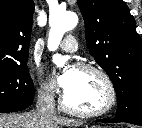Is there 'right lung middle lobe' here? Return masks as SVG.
I'll return each instance as SVG.
<instances>
[{
    "label": "right lung middle lobe",
    "instance_id": "dd1d6c3e",
    "mask_svg": "<svg viewBox=\"0 0 142 128\" xmlns=\"http://www.w3.org/2000/svg\"><path fill=\"white\" fill-rule=\"evenodd\" d=\"M33 98V81L26 65L0 67V105L29 107Z\"/></svg>",
    "mask_w": 142,
    "mask_h": 128
}]
</instances>
